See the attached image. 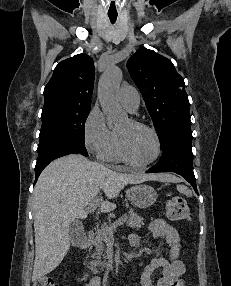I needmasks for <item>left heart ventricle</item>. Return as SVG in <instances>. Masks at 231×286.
I'll return each instance as SVG.
<instances>
[{
  "mask_svg": "<svg viewBox=\"0 0 231 286\" xmlns=\"http://www.w3.org/2000/svg\"><path fill=\"white\" fill-rule=\"evenodd\" d=\"M125 154L136 163H144L155 153V142L145 129L133 126L129 121L115 131Z\"/></svg>",
  "mask_w": 231,
  "mask_h": 286,
  "instance_id": "left-heart-ventricle-1",
  "label": "left heart ventricle"
}]
</instances>
